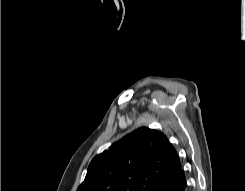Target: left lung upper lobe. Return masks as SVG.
Returning <instances> with one entry per match:
<instances>
[{"label": "left lung upper lobe", "mask_w": 245, "mask_h": 191, "mask_svg": "<svg viewBox=\"0 0 245 191\" xmlns=\"http://www.w3.org/2000/svg\"><path fill=\"white\" fill-rule=\"evenodd\" d=\"M178 161L164 133L141 127L95 156L77 191H155Z\"/></svg>", "instance_id": "obj_1"}]
</instances>
